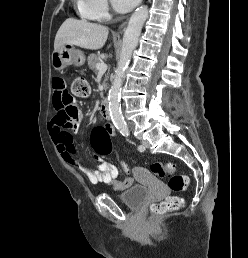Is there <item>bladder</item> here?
Wrapping results in <instances>:
<instances>
[{
	"label": "bladder",
	"mask_w": 248,
	"mask_h": 258,
	"mask_svg": "<svg viewBox=\"0 0 248 258\" xmlns=\"http://www.w3.org/2000/svg\"><path fill=\"white\" fill-rule=\"evenodd\" d=\"M148 188L144 185H134L118 195L120 201L132 209L139 208L148 197Z\"/></svg>",
	"instance_id": "31cf9c89"
}]
</instances>
